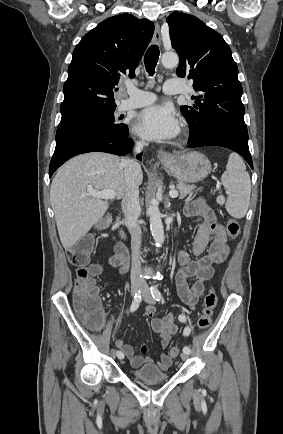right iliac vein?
<instances>
[{"label": "right iliac vein", "instance_id": "obj_1", "mask_svg": "<svg viewBox=\"0 0 283 434\" xmlns=\"http://www.w3.org/2000/svg\"><path fill=\"white\" fill-rule=\"evenodd\" d=\"M139 288H140V283L138 281H133L132 285H131V293H132V295H135L138 292ZM110 354H111L112 358L116 357V352H115L114 349L111 350Z\"/></svg>", "mask_w": 283, "mask_h": 434}]
</instances>
